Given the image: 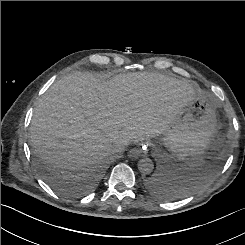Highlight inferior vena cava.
<instances>
[{
	"mask_svg": "<svg viewBox=\"0 0 245 245\" xmlns=\"http://www.w3.org/2000/svg\"><path fill=\"white\" fill-rule=\"evenodd\" d=\"M129 143L127 141H119L112 146V151L114 153L122 152Z\"/></svg>",
	"mask_w": 245,
	"mask_h": 245,
	"instance_id": "obj_1",
	"label": "inferior vena cava"
}]
</instances>
